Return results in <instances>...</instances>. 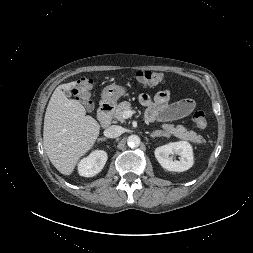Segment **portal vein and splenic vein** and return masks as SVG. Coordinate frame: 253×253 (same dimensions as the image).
Wrapping results in <instances>:
<instances>
[{
  "mask_svg": "<svg viewBox=\"0 0 253 253\" xmlns=\"http://www.w3.org/2000/svg\"><path fill=\"white\" fill-rule=\"evenodd\" d=\"M135 113V111H132V110H127V111H124L122 116L124 119H128L130 118L133 114Z\"/></svg>",
  "mask_w": 253,
  "mask_h": 253,
  "instance_id": "1",
  "label": "portal vein and splenic vein"
}]
</instances>
